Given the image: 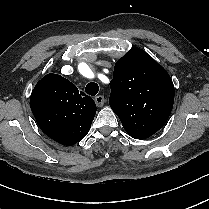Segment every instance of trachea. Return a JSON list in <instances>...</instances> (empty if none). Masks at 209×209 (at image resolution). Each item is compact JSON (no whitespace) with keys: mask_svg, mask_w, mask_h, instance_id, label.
I'll use <instances>...</instances> for the list:
<instances>
[{"mask_svg":"<svg viewBox=\"0 0 209 209\" xmlns=\"http://www.w3.org/2000/svg\"><path fill=\"white\" fill-rule=\"evenodd\" d=\"M85 91L87 94L94 96L98 93L99 86H98V84H96L94 82H90L86 85Z\"/></svg>","mask_w":209,"mask_h":209,"instance_id":"obj_1","label":"trachea"}]
</instances>
